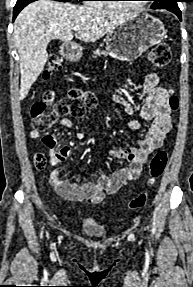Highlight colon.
<instances>
[{"mask_svg":"<svg viewBox=\"0 0 193 287\" xmlns=\"http://www.w3.org/2000/svg\"><path fill=\"white\" fill-rule=\"evenodd\" d=\"M171 49L167 44H158L154 46L149 54V61L156 67H164L171 61ZM61 69V60L56 55H51L46 70L47 75H52ZM56 95L53 92H47L41 101L32 106L31 114L33 125L38 130L50 128L58 116L70 114L74 117H83L88 109L96 105V98L90 92L80 90H71L68 97L55 102ZM53 109L47 112V106L53 104ZM169 106L171 110L176 111L179 106V100L176 95L170 93ZM35 166L43 169L47 165V159L44 154L38 153L34 158ZM168 163V154L162 150L157 152L150 161V183H154L164 172ZM147 194L141 193L131 200L129 207L132 210L143 208L147 204Z\"/></svg>","mask_w":193,"mask_h":287,"instance_id":"1","label":"colon"}]
</instances>
